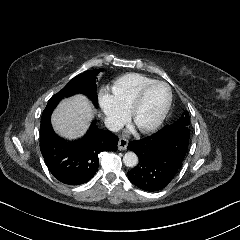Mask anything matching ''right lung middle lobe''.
<instances>
[{
    "label": "right lung middle lobe",
    "mask_w": 240,
    "mask_h": 240,
    "mask_svg": "<svg viewBox=\"0 0 240 240\" xmlns=\"http://www.w3.org/2000/svg\"><path fill=\"white\" fill-rule=\"evenodd\" d=\"M101 71H103V69L88 70L73 78L62 90L51 97L43 111L41 120L51 116L53 110L62 99L78 93L86 95L93 102V104L98 107V97L96 94L97 87L95 80L97 74Z\"/></svg>",
    "instance_id": "dd1d6c3e"
}]
</instances>
